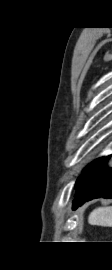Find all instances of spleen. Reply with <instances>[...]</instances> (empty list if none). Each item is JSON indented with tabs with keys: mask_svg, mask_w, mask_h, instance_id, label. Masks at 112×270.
Masks as SVG:
<instances>
[{
	"mask_svg": "<svg viewBox=\"0 0 112 270\" xmlns=\"http://www.w3.org/2000/svg\"><path fill=\"white\" fill-rule=\"evenodd\" d=\"M90 225L112 227V207H99L93 210L89 217Z\"/></svg>",
	"mask_w": 112,
	"mask_h": 270,
	"instance_id": "spleen-1",
	"label": "spleen"
}]
</instances>
